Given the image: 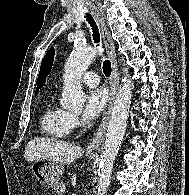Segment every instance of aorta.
Instances as JSON below:
<instances>
[{"mask_svg": "<svg viewBox=\"0 0 189 195\" xmlns=\"http://www.w3.org/2000/svg\"><path fill=\"white\" fill-rule=\"evenodd\" d=\"M97 55V50L90 46L77 45L70 54L64 66L63 93L61 104L72 111H81L85 103L81 78ZM133 82L126 73L122 79V86L117 94L110 121L108 124L104 144L101 151L99 165V180L97 195H105L110 185L112 168L126 131L129 116Z\"/></svg>", "mask_w": 189, "mask_h": 195, "instance_id": "1", "label": "aorta"}]
</instances>
